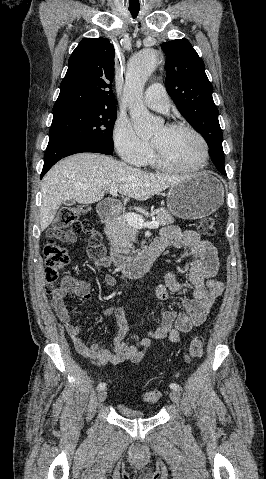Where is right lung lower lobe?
<instances>
[{"instance_id":"obj_1","label":"right lung lower lobe","mask_w":266,"mask_h":479,"mask_svg":"<svg viewBox=\"0 0 266 479\" xmlns=\"http://www.w3.org/2000/svg\"><path fill=\"white\" fill-rule=\"evenodd\" d=\"M94 152L111 155L113 149L90 141L72 139L61 136H51L45 152V162L41 178L60 159L75 153Z\"/></svg>"}]
</instances>
